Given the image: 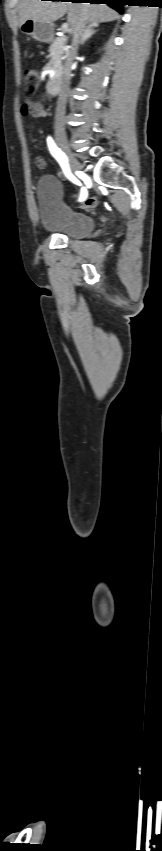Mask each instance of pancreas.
<instances>
[{
    "label": "pancreas",
    "instance_id": "cf45deb5",
    "mask_svg": "<svg viewBox=\"0 0 162 851\" xmlns=\"http://www.w3.org/2000/svg\"><path fill=\"white\" fill-rule=\"evenodd\" d=\"M51 60L46 68L58 74L61 70L63 61L67 58L69 50L66 47V41L62 37L56 38L49 47Z\"/></svg>",
    "mask_w": 162,
    "mask_h": 851
}]
</instances>
